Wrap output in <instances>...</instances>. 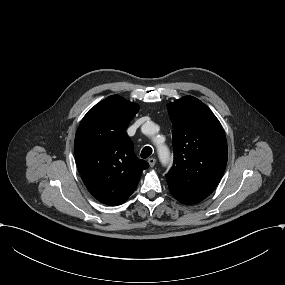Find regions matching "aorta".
Segmentation results:
<instances>
[{"instance_id":"aorta-1","label":"aorta","mask_w":285,"mask_h":285,"mask_svg":"<svg viewBox=\"0 0 285 285\" xmlns=\"http://www.w3.org/2000/svg\"><path fill=\"white\" fill-rule=\"evenodd\" d=\"M151 127H153V126H151ZM157 149H158V155H159L160 160L163 163L167 162L168 159H169V150H168V148L165 145L160 144V145L157 146Z\"/></svg>"}]
</instances>
